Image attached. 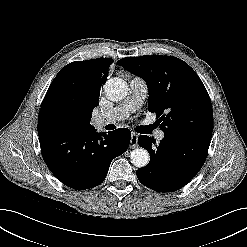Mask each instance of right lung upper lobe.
Segmentation results:
<instances>
[{"label": "right lung upper lobe", "mask_w": 247, "mask_h": 247, "mask_svg": "<svg viewBox=\"0 0 247 247\" xmlns=\"http://www.w3.org/2000/svg\"><path fill=\"white\" fill-rule=\"evenodd\" d=\"M113 60L97 58L86 61H75L65 66L74 70L73 86L83 100L84 114L77 132L91 131L92 111L98 106L100 89L108 75V68Z\"/></svg>", "instance_id": "right-lung-upper-lobe-1"}]
</instances>
